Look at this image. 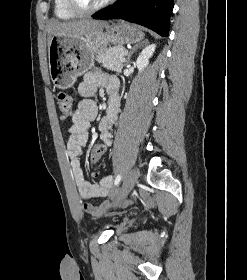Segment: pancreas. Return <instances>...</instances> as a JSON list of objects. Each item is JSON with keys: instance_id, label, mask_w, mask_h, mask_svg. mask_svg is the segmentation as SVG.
Listing matches in <instances>:
<instances>
[{"instance_id": "pancreas-1", "label": "pancreas", "mask_w": 247, "mask_h": 280, "mask_svg": "<svg viewBox=\"0 0 247 280\" xmlns=\"http://www.w3.org/2000/svg\"><path fill=\"white\" fill-rule=\"evenodd\" d=\"M126 52L125 48L118 45L106 49L104 52H101L97 55L96 60L102 64L103 67L121 72L124 65L120 61V57Z\"/></svg>"}]
</instances>
